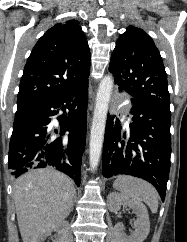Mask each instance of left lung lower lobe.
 <instances>
[{"label": "left lung lower lobe", "instance_id": "left-lung-lower-lobe-1", "mask_svg": "<svg viewBox=\"0 0 187 242\" xmlns=\"http://www.w3.org/2000/svg\"><path fill=\"white\" fill-rule=\"evenodd\" d=\"M131 101L132 122L126 130L115 116L107 118L102 174L142 178L154 185L164 201L170 171L171 114L134 98Z\"/></svg>", "mask_w": 187, "mask_h": 242}]
</instances>
